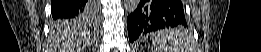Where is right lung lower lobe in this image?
Instances as JSON below:
<instances>
[{"mask_svg": "<svg viewBox=\"0 0 261 52\" xmlns=\"http://www.w3.org/2000/svg\"><path fill=\"white\" fill-rule=\"evenodd\" d=\"M95 1L88 0H51L53 19H71L81 14L93 17L97 10Z\"/></svg>", "mask_w": 261, "mask_h": 52, "instance_id": "1", "label": "right lung lower lobe"}]
</instances>
